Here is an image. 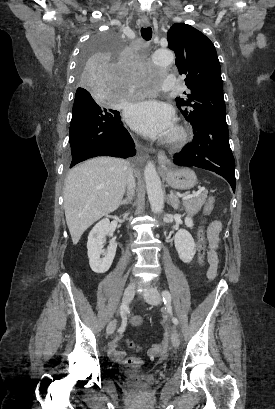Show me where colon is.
Instances as JSON below:
<instances>
[{
  "label": "colon",
  "instance_id": "5ec220e1",
  "mask_svg": "<svg viewBox=\"0 0 275 409\" xmlns=\"http://www.w3.org/2000/svg\"><path fill=\"white\" fill-rule=\"evenodd\" d=\"M215 205V200L213 197H210L203 208V224L207 223V219L212 212ZM206 249V238L202 232L197 236V257L198 263L203 266L204 256ZM130 347L133 345L131 342L128 344ZM162 349V344L160 342H152L150 344V350L148 351V356L150 358H158L160 356V350Z\"/></svg>",
  "mask_w": 275,
  "mask_h": 409
}]
</instances>
